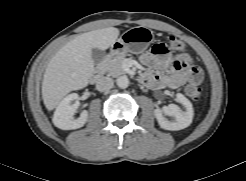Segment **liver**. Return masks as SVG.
<instances>
[{"mask_svg": "<svg viewBox=\"0 0 246 181\" xmlns=\"http://www.w3.org/2000/svg\"><path fill=\"white\" fill-rule=\"evenodd\" d=\"M119 30L102 28L78 35L65 44L50 60L42 81L45 107L53 110L68 93L86 87L94 72L91 50L108 49L118 38Z\"/></svg>", "mask_w": 246, "mask_h": 181, "instance_id": "1", "label": "liver"}]
</instances>
